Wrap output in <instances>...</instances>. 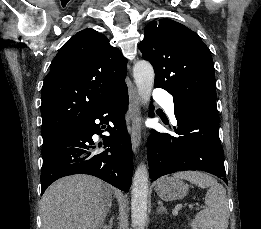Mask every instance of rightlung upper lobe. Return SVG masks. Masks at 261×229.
Wrapping results in <instances>:
<instances>
[{
    "mask_svg": "<svg viewBox=\"0 0 261 229\" xmlns=\"http://www.w3.org/2000/svg\"><path fill=\"white\" fill-rule=\"evenodd\" d=\"M127 60L105 35L85 29L71 37L51 63L42 88V130L61 134L90 119L127 88Z\"/></svg>",
    "mask_w": 261,
    "mask_h": 229,
    "instance_id": "obj_1",
    "label": "right lung upper lobe"
}]
</instances>
